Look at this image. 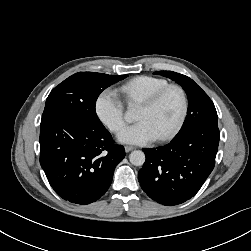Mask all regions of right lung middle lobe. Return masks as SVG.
Here are the masks:
<instances>
[{
    "label": "right lung middle lobe",
    "mask_w": 251,
    "mask_h": 251,
    "mask_svg": "<svg viewBox=\"0 0 251 251\" xmlns=\"http://www.w3.org/2000/svg\"><path fill=\"white\" fill-rule=\"evenodd\" d=\"M127 76L94 72H79L70 76L47 97L42 120L69 114L101 124L95 111L98 96L104 89Z\"/></svg>",
    "instance_id": "right-lung-middle-lobe-1"
}]
</instances>
